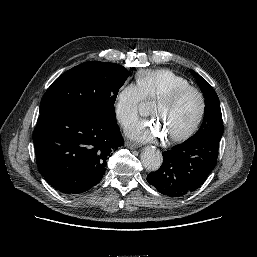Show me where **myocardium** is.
Returning <instances> with one entry per match:
<instances>
[{
  "label": "myocardium",
  "mask_w": 257,
  "mask_h": 257,
  "mask_svg": "<svg viewBox=\"0 0 257 257\" xmlns=\"http://www.w3.org/2000/svg\"><path fill=\"white\" fill-rule=\"evenodd\" d=\"M187 93H194L199 100V111L192 125L183 133L169 137L172 142H180L190 138L201 125L206 113V99L201 90L193 86H184L174 89L156 99L155 103L171 105Z\"/></svg>",
  "instance_id": "f54148a6"
}]
</instances>
